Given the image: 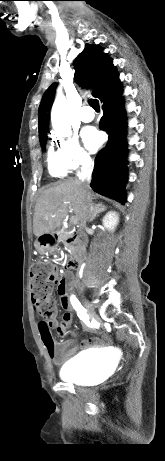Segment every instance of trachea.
<instances>
[{"label": "trachea", "mask_w": 165, "mask_h": 461, "mask_svg": "<svg viewBox=\"0 0 165 461\" xmlns=\"http://www.w3.org/2000/svg\"><path fill=\"white\" fill-rule=\"evenodd\" d=\"M89 104L96 112L100 111L99 101L97 99H91Z\"/></svg>", "instance_id": "1"}]
</instances>
